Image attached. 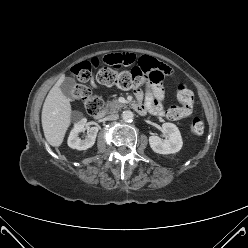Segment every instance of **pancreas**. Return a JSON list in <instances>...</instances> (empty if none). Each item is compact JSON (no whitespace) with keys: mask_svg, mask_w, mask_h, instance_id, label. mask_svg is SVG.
<instances>
[{"mask_svg":"<svg viewBox=\"0 0 248 248\" xmlns=\"http://www.w3.org/2000/svg\"><path fill=\"white\" fill-rule=\"evenodd\" d=\"M124 106H125L124 104H121L114 99L110 102H107L105 106V112H117L119 109H121Z\"/></svg>","mask_w":248,"mask_h":248,"instance_id":"obj_1","label":"pancreas"}]
</instances>
